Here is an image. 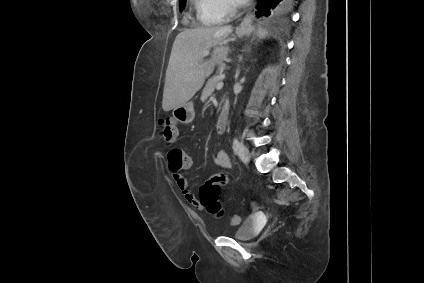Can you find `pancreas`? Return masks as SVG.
Listing matches in <instances>:
<instances>
[{
	"label": "pancreas",
	"instance_id": "cf45deb5",
	"mask_svg": "<svg viewBox=\"0 0 424 283\" xmlns=\"http://www.w3.org/2000/svg\"><path fill=\"white\" fill-rule=\"evenodd\" d=\"M220 82V79L218 76H214L207 82L205 88L203 89L201 100H206L209 96L212 95L214 92L216 85Z\"/></svg>",
	"mask_w": 424,
	"mask_h": 283
}]
</instances>
